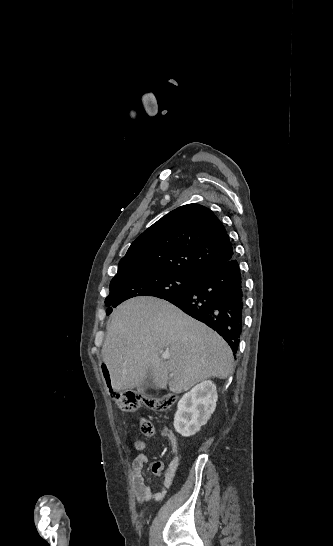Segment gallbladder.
<instances>
[{"instance_id": "obj_1", "label": "gallbladder", "mask_w": 333, "mask_h": 546, "mask_svg": "<svg viewBox=\"0 0 333 546\" xmlns=\"http://www.w3.org/2000/svg\"><path fill=\"white\" fill-rule=\"evenodd\" d=\"M137 391L141 394L149 395L157 391V387L153 382V378L150 372H147L144 379L137 386Z\"/></svg>"}]
</instances>
